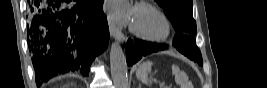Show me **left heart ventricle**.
Listing matches in <instances>:
<instances>
[{"label":"left heart ventricle","mask_w":267,"mask_h":88,"mask_svg":"<svg viewBox=\"0 0 267 88\" xmlns=\"http://www.w3.org/2000/svg\"><path fill=\"white\" fill-rule=\"evenodd\" d=\"M132 22L142 30L152 34H160L163 31L162 23L154 15L146 11L134 12Z\"/></svg>","instance_id":"b2bd125f"}]
</instances>
